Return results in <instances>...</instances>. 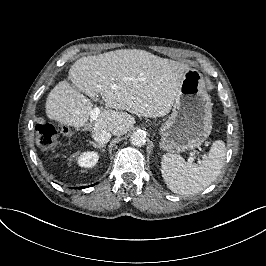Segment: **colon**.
<instances>
[{
	"mask_svg": "<svg viewBox=\"0 0 266 266\" xmlns=\"http://www.w3.org/2000/svg\"><path fill=\"white\" fill-rule=\"evenodd\" d=\"M38 142L44 149L54 147L57 140V131L49 122H40L36 125Z\"/></svg>",
	"mask_w": 266,
	"mask_h": 266,
	"instance_id": "colon-1",
	"label": "colon"
}]
</instances>
